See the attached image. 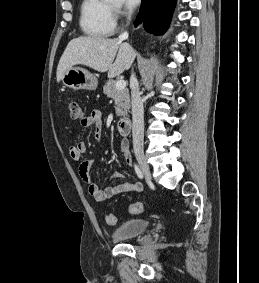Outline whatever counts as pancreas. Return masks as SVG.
<instances>
[{
	"mask_svg": "<svg viewBox=\"0 0 259 283\" xmlns=\"http://www.w3.org/2000/svg\"><path fill=\"white\" fill-rule=\"evenodd\" d=\"M116 81L109 80L105 83L103 87V92L108 98L117 100L115 106V112L117 116H125L128 114L130 109V99L129 91L124 88L122 90H117L115 88Z\"/></svg>",
	"mask_w": 259,
	"mask_h": 283,
	"instance_id": "1",
	"label": "pancreas"
}]
</instances>
